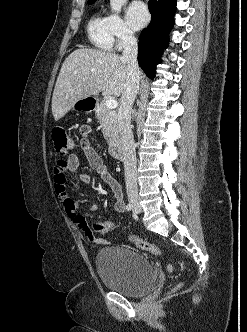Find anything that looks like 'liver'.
<instances>
[{
	"instance_id": "liver-1",
	"label": "liver",
	"mask_w": 247,
	"mask_h": 332,
	"mask_svg": "<svg viewBox=\"0 0 247 332\" xmlns=\"http://www.w3.org/2000/svg\"><path fill=\"white\" fill-rule=\"evenodd\" d=\"M128 82L127 62L121 56L97 49L73 51L60 69L53 96L52 114L60 120L81 98L102 92L119 97Z\"/></svg>"
}]
</instances>
